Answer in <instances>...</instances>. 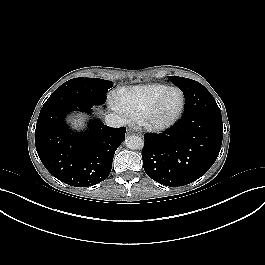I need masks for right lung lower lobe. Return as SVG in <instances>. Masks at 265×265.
<instances>
[{"label":"right lung lower lobe","instance_id":"right-lung-lower-lobe-1","mask_svg":"<svg viewBox=\"0 0 265 265\" xmlns=\"http://www.w3.org/2000/svg\"><path fill=\"white\" fill-rule=\"evenodd\" d=\"M72 111L90 114L91 107H42L35 130L36 150L46 169L60 181L74 187L93 186L109 176L126 129L112 128L94 119L89 121L86 132L73 133L65 123Z\"/></svg>","mask_w":265,"mask_h":265}]
</instances>
